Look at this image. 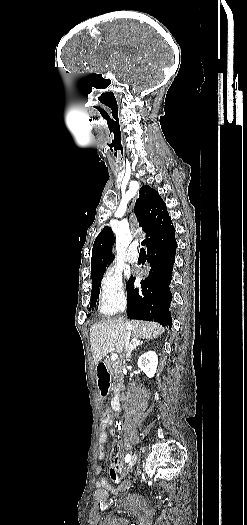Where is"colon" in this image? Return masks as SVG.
<instances>
[{
    "mask_svg": "<svg viewBox=\"0 0 247 525\" xmlns=\"http://www.w3.org/2000/svg\"><path fill=\"white\" fill-rule=\"evenodd\" d=\"M99 424L104 430H107V427L110 425V420L106 417L100 419Z\"/></svg>",
    "mask_w": 247,
    "mask_h": 525,
    "instance_id": "5ec220e1",
    "label": "colon"
}]
</instances>
